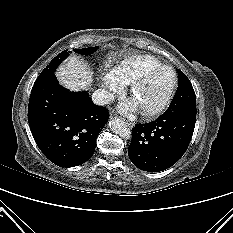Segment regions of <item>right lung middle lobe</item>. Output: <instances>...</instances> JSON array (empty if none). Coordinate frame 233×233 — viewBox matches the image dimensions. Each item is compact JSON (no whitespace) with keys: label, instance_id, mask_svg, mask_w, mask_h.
Returning <instances> with one entry per match:
<instances>
[{"label":"right lung middle lobe","instance_id":"dd1d6c3e","mask_svg":"<svg viewBox=\"0 0 233 233\" xmlns=\"http://www.w3.org/2000/svg\"><path fill=\"white\" fill-rule=\"evenodd\" d=\"M98 47H92V48H84V49H79L75 50L76 53L81 54V55H90L94 53ZM69 55V52L67 50L61 52L59 55H57L52 61L47 65V67L41 72V74L38 76L36 79L34 85L42 83L44 81H47L51 77L54 76V72L58 65Z\"/></svg>","mask_w":233,"mask_h":233}]
</instances>
